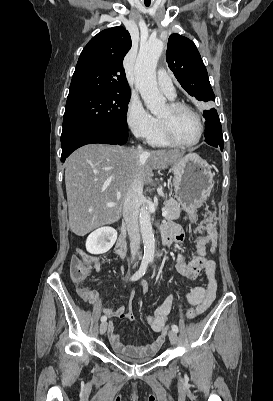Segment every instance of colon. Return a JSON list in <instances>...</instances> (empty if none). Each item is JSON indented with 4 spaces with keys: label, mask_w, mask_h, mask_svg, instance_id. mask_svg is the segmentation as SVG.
Wrapping results in <instances>:
<instances>
[{
    "label": "colon",
    "mask_w": 273,
    "mask_h": 401,
    "mask_svg": "<svg viewBox=\"0 0 273 401\" xmlns=\"http://www.w3.org/2000/svg\"><path fill=\"white\" fill-rule=\"evenodd\" d=\"M67 268L70 270L73 282H86L88 276L94 275L92 263H89L83 257H72L71 261L67 263ZM189 279L194 281L196 276L191 274ZM151 288L152 285L150 283H144L139 289L140 296L144 297ZM74 290L79 293L81 297H90L92 295L93 286L91 284H77L75 285Z\"/></svg>",
    "instance_id": "5ec220e1"
}]
</instances>
